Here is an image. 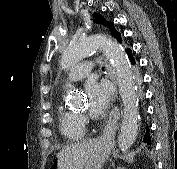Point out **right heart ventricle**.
Returning a JSON list of instances; mask_svg holds the SVG:
<instances>
[{
	"instance_id": "right-heart-ventricle-1",
	"label": "right heart ventricle",
	"mask_w": 177,
	"mask_h": 169,
	"mask_svg": "<svg viewBox=\"0 0 177 169\" xmlns=\"http://www.w3.org/2000/svg\"><path fill=\"white\" fill-rule=\"evenodd\" d=\"M59 125L62 135L68 140H80L86 134L82 117L64 106L59 108Z\"/></svg>"
}]
</instances>
